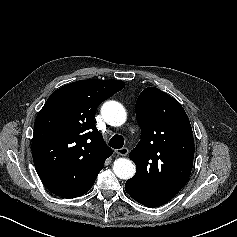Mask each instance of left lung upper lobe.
<instances>
[{
  "instance_id": "5c2ea615",
  "label": "left lung upper lobe",
  "mask_w": 237,
  "mask_h": 237,
  "mask_svg": "<svg viewBox=\"0 0 237 237\" xmlns=\"http://www.w3.org/2000/svg\"><path fill=\"white\" fill-rule=\"evenodd\" d=\"M141 140L131 151L137 171L131 178L135 201L159 207L187 183L194 158L191 124L181 104L155 87L143 90L136 102Z\"/></svg>"
}]
</instances>
